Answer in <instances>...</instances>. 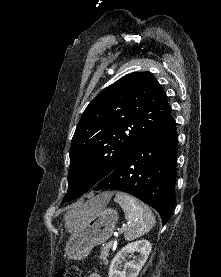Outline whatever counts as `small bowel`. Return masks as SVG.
<instances>
[{
	"instance_id": "obj_1",
	"label": "small bowel",
	"mask_w": 221,
	"mask_h": 277,
	"mask_svg": "<svg viewBox=\"0 0 221 277\" xmlns=\"http://www.w3.org/2000/svg\"><path fill=\"white\" fill-rule=\"evenodd\" d=\"M87 277H101V276L97 273H90V274H88Z\"/></svg>"
}]
</instances>
